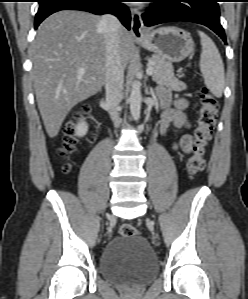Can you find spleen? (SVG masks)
Returning a JSON list of instances; mask_svg holds the SVG:
<instances>
[{"label": "spleen", "instance_id": "1", "mask_svg": "<svg viewBox=\"0 0 248 299\" xmlns=\"http://www.w3.org/2000/svg\"><path fill=\"white\" fill-rule=\"evenodd\" d=\"M201 39L202 52L200 70L206 87L218 98L222 96L225 87L224 65L220 53L210 37L198 31Z\"/></svg>", "mask_w": 248, "mask_h": 299}]
</instances>
